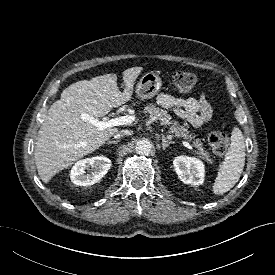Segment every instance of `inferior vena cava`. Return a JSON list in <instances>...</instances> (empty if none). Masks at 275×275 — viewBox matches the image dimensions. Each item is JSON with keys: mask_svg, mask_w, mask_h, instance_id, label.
I'll list each match as a JSON object with an SVG mask.
<instances>
[{"mask_svg": "<svg viewBox=\"0 0 275 275\" xmlns=\"http://www.w3.org/2000/svg\"><path fill=\"white\" fill-rule=\"evenodd\" d=\"M130 134H132V131H130V130H121L116 135H114V138H120V137L130 135Z\"/></svg>", "mask_w": 275, "mask_h": 275, "instance_id": "obj_1", "label": "inferior vena cava"}]
</instances>
